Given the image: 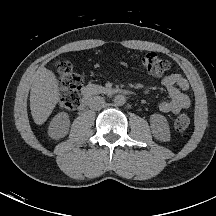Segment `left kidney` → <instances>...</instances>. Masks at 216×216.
I'll return each instance as SVG.
<instances>
[{"label": "left kidney", "instance_id": "1", "mask_svg": "<svg viewBox=\"0 0 216 216\" xmlns=\"http://www.w3.org/2000/svg\"><path fill=\"white\" fill-rule=\"evenodd\" d=\"M150 127L153 136L163 142L170 141V130L167 119L160 114H152L150 116Z\"/></svg>", "mask_w": 216, "mask_h": 216}]
</instances>
